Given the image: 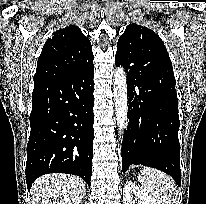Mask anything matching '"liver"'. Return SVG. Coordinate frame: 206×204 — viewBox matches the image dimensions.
<instances>
[{"label": "liver", "mask_w": 206, "mask_h": 204, "mask_svg": "<svg viewBox=\"0 0 206 204\" xmlns=\"http://www.w3.org/2000/svg\"><path fill=\"white\" fill-rule=\"evenodd\" d=\"M32 204H79L85 195L80 177L53 173L37 179L31 188Z\"/></svg>", "instance_id": "liver-1"}]
</instances>
